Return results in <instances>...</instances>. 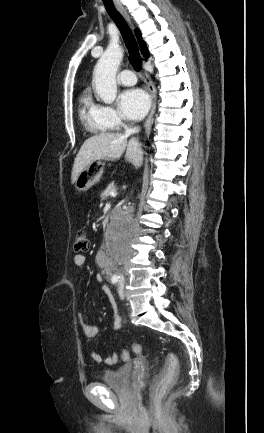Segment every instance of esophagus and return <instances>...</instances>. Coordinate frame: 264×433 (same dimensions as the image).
<instances>
[{
    "label": "esophagus",
    "mask_w": 264,
    "mask_h": 433,
    "mask_svg": "<svg viewBox=\"0 0 264 433\" xmlns=\"http://www.w3.org/2000/svg\"><path fill=\"white\" fill-rule=\"evenodd\" d=\"M114 2H115L117 9L120 11V13L125 17V19L129 23H131L130 17L127 14V12H126L125 8L123 7V5L121 4V2H119L118 0H114ZM145 80L147 82L148 91H149L151 102H152L151 111L149 113L148 118L146 119V121L144 123L145 133H146V135H148L150 133V130H151V126L153 123V115H154L155 109H156V90H155L153 83L149 80V77L147 74H145Z\"/></svg>",
    "instance_id": "34e87169"
}]
</instances>
